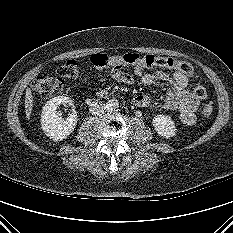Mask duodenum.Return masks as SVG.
Here are the masks:
<instances>
[{
	"mask_svg": "<svg viewBox=\"0 0 233 233\" xmlns=\"http://www.w3.org/2000/svg\"><path fill=\"white\" fill-rule=\"evenodd\" d=\"M109 92L108 91H102L101 94L102 95H105V94H108Z\"/></svg>",
	"mask_w": 233,
	"mask_h": 233,
	"instance_id": "obj_1",
	"label": "duodenum"
}]
</instances>
